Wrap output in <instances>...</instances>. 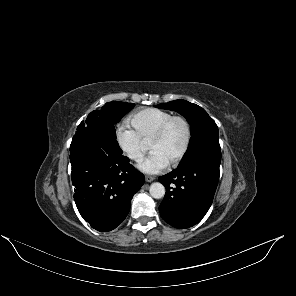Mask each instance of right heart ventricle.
Returning <instances> with one entry per match:
<instances>
[{"label": "right heart ventricle", "instance_id": "right-heart-ventricle-1", "mask_svg": "<svg viewBox=\"0 0 296 296\" xmlns=\"http://www.w3.org/2000/svg\"><path fill=\"white\" fill-rule=\"evenodd\" d=\"M172 116L171 112L165 110L145 108L132 115L131 124L141 139L149 144L161 126Z\"/></svg>", "mask_w": 296, "mask_h": 296}]
</instances>
